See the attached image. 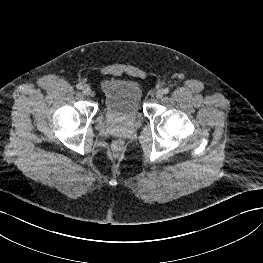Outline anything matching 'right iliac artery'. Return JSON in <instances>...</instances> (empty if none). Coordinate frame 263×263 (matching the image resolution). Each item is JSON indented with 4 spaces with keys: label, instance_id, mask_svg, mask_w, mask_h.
Wrapping results in <instances>:
<instances>
[{
    "label": "right iliac artery",
    "instance_id": "82829eb1",
    "mask_svg": "<svg viewBox=\"0 0 263 263\" xmlns=\"http://www.w3.org/2000/svg\"><path fill=\"white\" fill-rule=\"evenodd\" d=\"M76 87H77V89H79V90L83 88L82 84H77Z\"/></svg>",
    "mask_w": 263,
    "mask_h": 263
}]
</instances>
